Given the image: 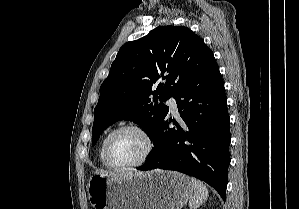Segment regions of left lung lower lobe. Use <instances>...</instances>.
Here are the masks:
<instances>
[{
  "mask_svg": "<svg viewBox=\"0 0 299 209\" xmlns=\"http://www.w3.org/2000/svg\"><path fill=\"white\" fill-rule=\"evenodd\" d=\"M181 116L159 126L147 162L138 170H176L205 181L225 200L230 163V118L224 82L213 57L173 96ZM174 123V121H173Z\"/></svg>",
  "mask_w": 299,
  "mask_h": 209,
  "instance_id": "1",
  "label": "left lung lower lobe"
}]
</instances>
